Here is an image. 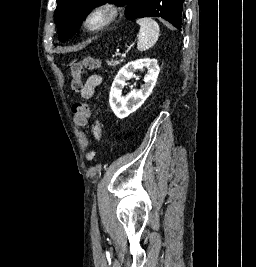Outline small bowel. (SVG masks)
<instances>
[{
	"label": "small bowel",
	"mask_w": 256,
	"mask_h": 267,
	"mask_svg": "<svg viewBox=\"0 0 256 267\" xmlns=\"http://www.w3.org/2000/svg\"><path fill=\"white\" fill-rule=\"evenodd\" d=\"M102 83V77L98 74L90 75L83 84L80 94L83 101L89 100L93 97L97 87ZM101 126L96 122L92 129V135L95 140L101 139Z\"/></svg>",
	"instance_id": "small-bowel-1"
}]
</instances>
